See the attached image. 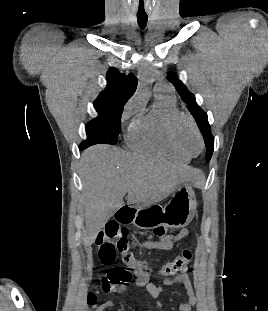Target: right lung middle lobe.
<instances>
[{"label": "right lung middle lobe", "mask_w": 268, "mask_h": 311, "mask_svg": "<svg viewBox=\"0 0 268 311\" xmlns=\"http://www.w3.org/2000/svg\"><path fill=\"white\" fill-rule=\"evenodd\" d=\"M94 108L98 112V117L87 123V140L81 143L82 149L94 144L115 145L121 132L122 109L96 103Z\"/></svg>", "instance_id": "right-lung-middle-lobe-1"}]
</instances>
